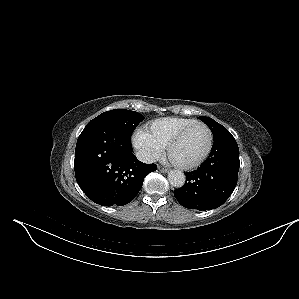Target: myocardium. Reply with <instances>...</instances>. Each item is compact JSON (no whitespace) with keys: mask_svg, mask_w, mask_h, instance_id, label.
<instances>
[{"mask_svg":"<svg viewBox=\"0 0 299 299\" xmlns=\"http://www.w3.org/2000/svg\"><path fill=\"white\" fill-rule=\"evenodd\" d=\"M197 126H202L204 128H206V130L208 131V135H209V140H208V144H207V147H206V150L204 151V153L201 155L200 158H198L196 161L194 162H191V163H180L176 160H174L171 156V150L172 148L177 144L179 143L184 137L185 135L191 131L193 128L197 127ZM212 147H213V132L211 130V128L203 123V122H195L185 128H183L181 131H179L176 135H174L170 141L167 143L166 145V150H167V153L170 157V159L180 168L182 169H193V168H196L198 166H200L206 159L207 157L209 156L211 150H212Z\"/></svg>","mask_w":299,"mask_h":299,"instance_id":"f54148a6","label":"myocardium"}]
</instances>
